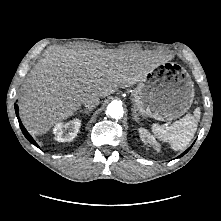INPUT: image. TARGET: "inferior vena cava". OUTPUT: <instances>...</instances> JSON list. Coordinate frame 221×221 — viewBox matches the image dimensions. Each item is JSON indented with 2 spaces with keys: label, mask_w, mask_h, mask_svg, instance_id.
<instances>
[{
  "label": "inferior vena cava",
  "mask_w": 221,
  "mask_h": 221,
  "mask_svg": "<svg viewBox=\"0 0 221 221\" xmlns=\"http://www.w3.org/2000/svg\"><path fill=\"white\" fill-rule=\"evenodd\" d=\"M82 104L87 109H93L94 107H96L99 104V97L94 94H88L83 98Z\"/></svg>",
  "instance_id": "obj_1"
}]
</instances>
